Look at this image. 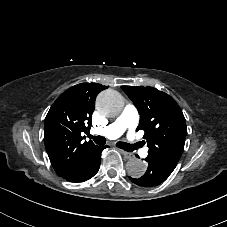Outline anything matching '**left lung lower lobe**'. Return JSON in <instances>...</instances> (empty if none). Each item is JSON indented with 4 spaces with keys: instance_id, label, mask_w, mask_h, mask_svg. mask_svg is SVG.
Listing matches in <instances>:
<instances>
[{
    "instance_id": "0a47b994",
    "label": "left lung lower lobe",
    "mask_w": 227,
    "mask_h": 227,
    "mask_svg": "<svg viewBox=\"0 0 227 227\" xmlns=\"http://www.w3.org/2000/svg\"><path fill=\"white\" fill-rule=\"evenodd\" d=\"M145 161L148 162V168L144 176L134 179L130 178L132 182L143 187H152L159 185L168 178L174 168L163 164L160 161L147 157Z\"/></svg>"
}]
</instances>
